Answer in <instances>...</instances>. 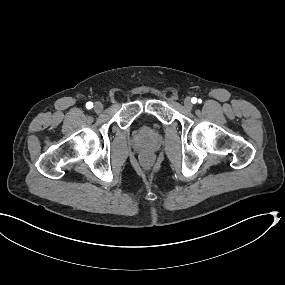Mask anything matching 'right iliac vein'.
<instances>
[{"mask_svg":"<svg viewBox=\"0 0 285 285\" xmlns=\"http://www.w3.org/2000/svg\"><path fill=\"white\" fill-rule=\"evenodd\" d=\"M103 104L101 103V102H96L95 104H94V110H95V112H97V113H101L102 111H103Z\"/></svg>","mask_w":285,"mask_h":285,"instance_id":"right-iliac-vein-1","label":"right iliac vein"}]
</instances>
